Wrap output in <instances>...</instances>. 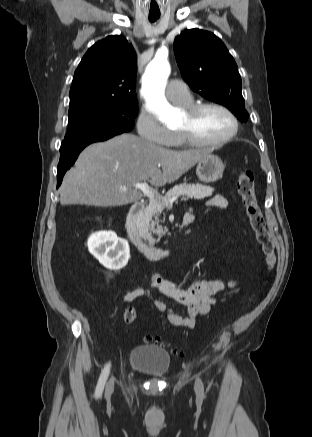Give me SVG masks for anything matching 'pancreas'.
I'll return each instance as SVG.
<instances>
[{"mask_svg": "<svg viewBox=\"0 0 312 437\" xmlns=\"http://www.w3.org/2000/svg\"><path fill=\"white\" fill-rule=\"evenodd\" d=\"M214 188L202 184H188L183 183L174 186L170 189L165 200L158 198L156 200H150L147 205L144 214L140 222V235L144 240L149 242V245H154L159 242L160 238L167 233V228L161 225L164 220L160 219L165 208H171L168 200L178 196H185L183 200L188 198H194L197 200L209 197L212 195ZM152 234L157 236V239L153 238Z\"/></svg>", "mask_w": 312, "mask_h": 437, "instance_id": "cf45deb5", "label": "pancreas"}]
</instances>
